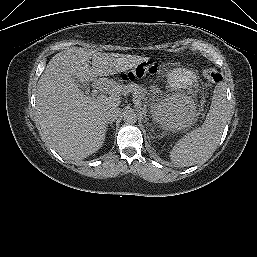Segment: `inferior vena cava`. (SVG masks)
I'll list each match as a JSON object with an SVG mask.
<instances>
[{
  "label": "inferior vena cava",
  "mask_w": 257,
  "mask_h": 257,
  "mask_svg": "<svg viewBox=\"0 0 257 257\" xmlns=\"http://www.w3.org/2000/svg\"><path fill=\"white\" fill-rule=\"evenodd\" d=\"M121 114V110L118 107H109L103 112V117L107 122L114 121Z\"/></svg>",
  "instance_id": "inferior-vena-cava-1"
}]
</instances>
